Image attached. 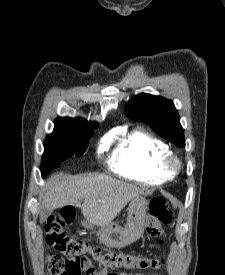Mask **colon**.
<instances>
[{
    "instance_id": "5ec220e1",
    "label": "colon",
    "mask_w": 225,
    "mask_h": 275,
    "mask_svg": "<svg viewBox=\"0 0 225 275\" xmlns=\"http://www.w3.org/2000/svg\"><path fill=\"white\" fill-rule=\"evenodd\" d=\"M74 217V210L67 207L48 219L46 225L47 243L60 252L75 256L74 260H70L59 254H50L47 257L49 275H92L96 271V266L88 255L111 269L156 270L164 265V260L159 258L104 251L91 246L86 241L71 237L67 225L73 221ZM173 217V210L163 197L153 198L148 207L146 232L151 236L160 238V244H164V226L168 225ZM110 275L116 274L111 272Z\"/></svg>"
}]
</instances>
